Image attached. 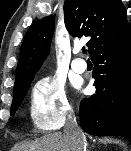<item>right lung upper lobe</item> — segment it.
I'll return each mask as SVG.
<instances>
[{"instance_id": "cb5924a9", "label": "right lung upper lobe", "mask_w": 131, "mask_h": 151, "mask_svg": "<svg viewBox=\"0 0 131 151\" xmlns=\"http://www.w3.org/2000/svg\"><path fill=\"white\" fill-rule=\"evenodd\" d=\"M65 26L74 37H90L91 55L97 48L130 31L126 8L121 0H65ZM54 32V16L34 23L21 46L14 89L28 84L49 54Z\"/></svg>"}]
</instances>
